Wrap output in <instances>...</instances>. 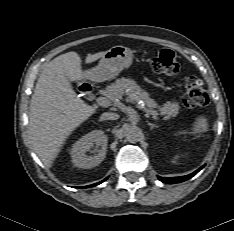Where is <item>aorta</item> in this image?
I'll use <instances>...</instances> for the list:
<instances>
[{"label":"aorta","mask_w":234,"mask_h":231,"mask_svg":"<svg viewBox=\"0 0 234 231\" xmlns=\"http://www.w3.org/2000/svg\"><path fill=\"white\" fill-rule=\"evenodd\" d=\"M124 134H125V138L129 142H137V141H139V139L142 135V132H141L139 127L132 125V126H128L125 129Z\"/></svg>","instance_id":"aorta-1"}]
</instances>
